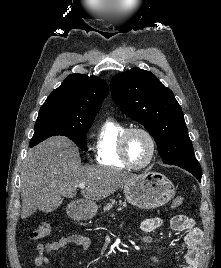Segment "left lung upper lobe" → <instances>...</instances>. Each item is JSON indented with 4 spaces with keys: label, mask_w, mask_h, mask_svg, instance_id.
I'll use <instances>...</instances> for the list:
<instances>
[{
    "label": "left lung upper lobe",
    "mask_w": 221,
    "mask_h": 268,
    "mask_svg": "<svg viewBox=\"0 0 221 268\" xmlns=\"http://www.w3.org/2000/svg\"><path fill=\"white\" fill-rule=\"evenodd\" d=\"M110 89L118 108L153 136L164 163L195 159L182 109L154 74L133 68L113 77Z\"/></svg>",
    "instance_id": "1"
}]
</instances>
